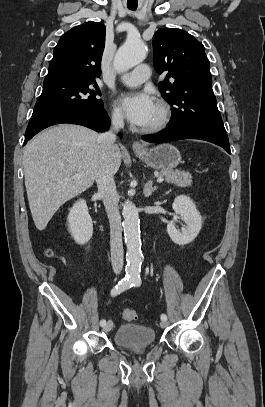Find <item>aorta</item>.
Here are the masks:
<instances>
[{
  "label": "aorta",
  "instance_id": "1",
  "mask_svg": "<svg viewBox=\"0 0 265 407\" xmlns=\"http://www.w3.org/2000/svg\"><path fill=\"white\" fill-rule=\"evenodd\" d=\"M147 55L145 44L140 39L128 38L118 49L113 66L119 73L125 72L141 63ZM123 229L125 235L126 252V274L137 276L142 264V251L140 239V225L138 209L131 202L123 206Z\"/></svg>",
  "mask_w": 265,
  "mask_h": 407
}]
</instances>
